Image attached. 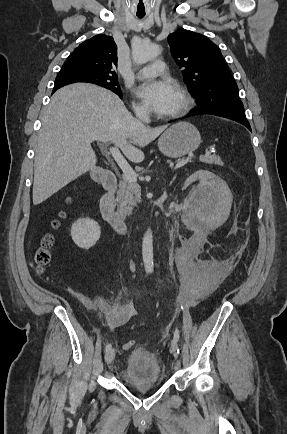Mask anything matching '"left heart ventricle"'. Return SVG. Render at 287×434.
I'll use <instances>...</instances> for the list:
<instances>
[{"label": "left heart ventricle", "instance_id": "left-heart-ventricle-1", "mask_svg": "<svg viewBox=\"0 0 287 434\" xmlns=\"http://www.w3.org/2000/svg\"><path fill=\"white\" fill-rule=\"evenodd\" d=\"M181 104H182L181 97H180L179 93H177V96L175 98L173 106H172L171 110L168 113H172V112L178 110L180 108Z\"/></svg>", "mask_w": 287, "mask_h": 434}]
</instances>
